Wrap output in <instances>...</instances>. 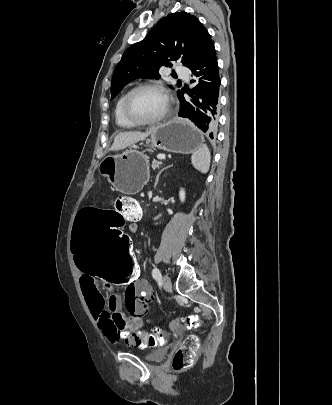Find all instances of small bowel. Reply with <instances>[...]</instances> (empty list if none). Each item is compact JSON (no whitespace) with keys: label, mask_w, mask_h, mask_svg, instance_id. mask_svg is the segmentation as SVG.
Returning <instances> with one entry per match:
<instances>
[{"label":"small bowel","mask_w":332,"mask_h":405,"mask_svg":"<svg viewBox=\"0 0 332 405\" xmlns=\"http://www.w3.org/2000/svg\"><path fill=\"white\" fill-rule=\"evenodd\" d=\"M140 213L136 211L127 220L130 222L129 230L132 233L137 231L136 221L132 219V215ZM79 262L74 264L79 274V280L82 292L88 308L93 318L98 323L104 336L110 342H117L122 340L119 336L121 329H126L130 333L141 332L144 328V322L138 316L147 311L150 304V291L144 282L135 281L131 283L130 287H126V296L122 300L116 293L115 287L111 285V281H104V286L107 290L105 297L98 286V278L96 275H82V268H79ZM136 266H138L136 264ZM139 277V275H138ZM127 313H131L133 317L128 318ZM138 339L135 336L131 344L139 345Z\"/></svg>","instance_id":"c3829d8e"}]
</instances>
